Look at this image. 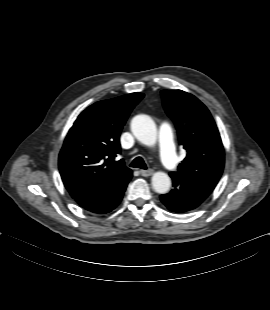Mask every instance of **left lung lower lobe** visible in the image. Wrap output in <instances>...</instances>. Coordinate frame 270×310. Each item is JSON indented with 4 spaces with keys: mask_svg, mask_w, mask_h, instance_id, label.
I'll return each instance as SVG.
<instances>
[{
    "mask_svg": "<svg viewBox=\"0 0 270 310\" xmlns=\"http://www.w3.org/2000/svg\"><path fill=\"white\" fill-rule=\"evenodd\" d=\"M173 190L161 195L162 203L173 212L183 213L199 207L212 193L215 186L187 180L177 174L170 173Z\"/></svg>",
    "mask_w": 270,
    "mask_h": 310,
    "instance_id": "obj_1",
    "label": "left lung lower lobe"
}]
</instances>
